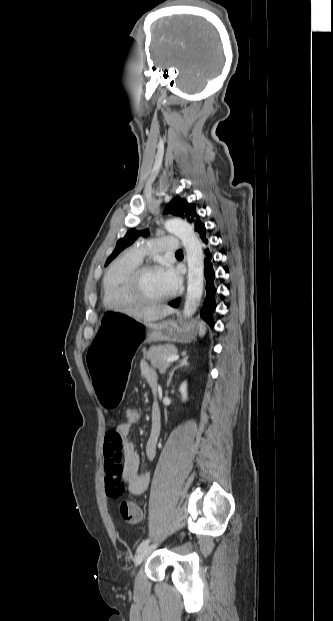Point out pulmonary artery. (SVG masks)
<instances>
[{"label": "pulmonary artery", "mask_w": 333, "mask_h": 621, "mask_svg": "<svg viewBox=\"0 0 333 621\" xmlns=\"http://www.w3.org/2000/svg\"><path fill=\"white\" fill-rule=\"evenodd\" d=\"M180 247L178 238L174 236H164L131 248L129 254L140 262L147 254H155L158 252L174 253L180 250Z\"/></svg>", "instance_id": "obj_1"}]
</instances>
